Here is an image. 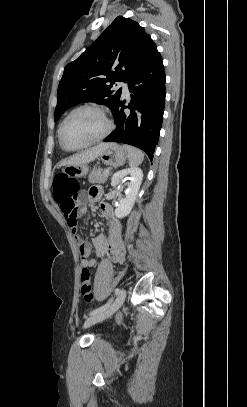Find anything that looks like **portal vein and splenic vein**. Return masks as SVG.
<instances>
[{
    "label": "portal vein and splenic vein",
    "instance_id": "obj_1",
    "mask_svg": "<svg viewBox=\"0 0 247 407\" xmlns=\"http://www.w3.org/2000/svg\"><path fill=\"white\" fill-rule=\"evenodd\" d=\"M104 173H109V170H105Z\"/></svg>",
    "mask_w": 247,
    "mask_h": 407
}]
</instances>
